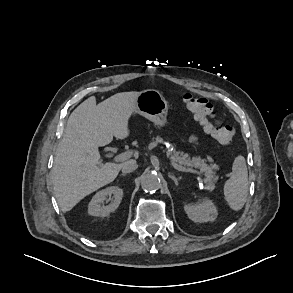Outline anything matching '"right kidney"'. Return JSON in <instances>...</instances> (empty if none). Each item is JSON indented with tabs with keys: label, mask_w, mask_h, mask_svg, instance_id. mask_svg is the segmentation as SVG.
I'll return each instance as SVG.
<instances>
[{
	"label": "right kidney",
	"mask_w": 293,
	"mask_h": 293,
	"mask_svg": "<svg viewBox=\"0 0 293 293\" xmlns=\"http://www.w3.org/2000/svg\"><path fill=\"white\" fill-rule=\"evenodd\" d=\"M112 196V198H111ZM123 196V191L117 186L107 187L97 192L88 206V213L91 216H108L111 212L115 211ZM109 197V199H107ZM111 200L108 205H104V202Z\"/></svg>",
	"instance_id": "ca27d5eb"
}]
</instances>
